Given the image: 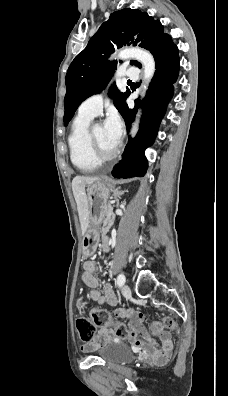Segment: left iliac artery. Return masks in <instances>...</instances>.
I'll return each mask as SVG.
<instances>
[{"mask_svg": "<svg viewBox=\"0 0 228 396\" xmlns=\"http://www.w3.org/2000/svg\"><path fill=\"white\" fill-rule=\"evenodd\" d=\"M126 281L125 275L124 274H119L117 277V285L118 287H121Z\"/></svg>", "mask_w": 228, "mask_h": 396, "instance_id": "obj_1", "label": "left iliac artery"}]
</instances>
